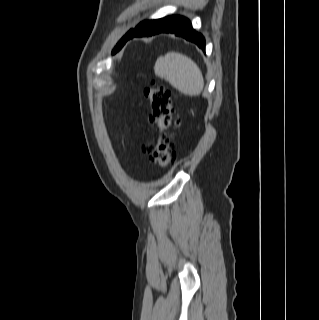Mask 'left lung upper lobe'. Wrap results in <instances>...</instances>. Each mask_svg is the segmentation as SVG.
I'll return each mask as SVG.
<instances>
[{"label": "left lung upper lobe", "mask_w": 319, "mask_h": 320, "mask_svg": "<svg viewBox=\"0 0 319 320\" xmlns=\"http://www.w3.org/2000/svg\"><path fill=\"white\" fill-rule=\"evenodd\" d=\"M128 34V33H127ZM126 34V35H127ZM126 35L118 42V44L116 45V47L114 48L112 53H115L117 50H119L121 48V46L123 45V42L125 40Z\"/></svg>", "instance_id": "left-lung-upper-lobe-1"}]
</instances>
